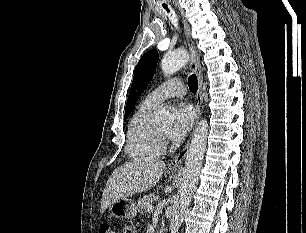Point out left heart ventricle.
<instances>
[{
  "label": "left heart ventricle",
  "mask_w": 306,
  "mask_h": 233,
  "mask_svg": "<svg viewBox=\"0 0 306 233\" xmlns=\"http://www.w3.org/2000/svg\"><path fill=\"white\" fill-rule=\"evenodd\" d=\"M159 131H161L164 134H167L169 129L168 128H160Z\"/></svg>",
  "instance_id": "b2bd125f"
}]
</instances>
